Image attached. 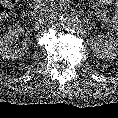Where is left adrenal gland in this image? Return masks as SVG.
I'll list each match as a JSON object with an SVG mask.
<instances>
[{
	"label": "left adrenal gland",
	"mask_w": 118,
	"mask_h": 118,
	"mask_svg": "<svg viewBox=\"0 0 118 118\" xmlns=\"http://www.w3.org/2000/svg\"><path fill=\"white\" fill-rule=\"evenodd\" d=\"M90 26H94L93 22L87 21Z\"/></svg>",
	"instance_id": "obj_1"
}]
</instances>
